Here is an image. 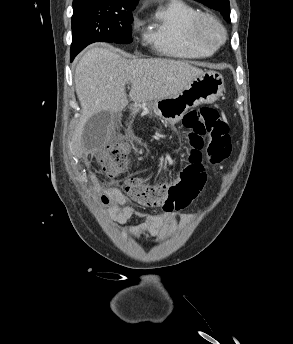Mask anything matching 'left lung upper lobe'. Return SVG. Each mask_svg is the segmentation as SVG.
<instances>
[{"mask_svg":"<svg viewBox=\"0 0 293 344\" xmlns=\"http://www.w3.org/2000/svg\"><path fill=\"white\" fill-rule=\"evenodd\" d=\"M204 5L220 11L226 21H230V3L229 0H196Z\"/></svg>","mask_w":293,"mask_h":344,"instance_id":"obj_1","label":"left lung upper lobe"}]
</instances>
